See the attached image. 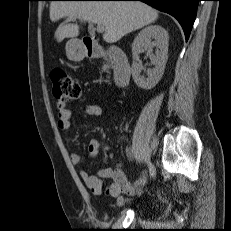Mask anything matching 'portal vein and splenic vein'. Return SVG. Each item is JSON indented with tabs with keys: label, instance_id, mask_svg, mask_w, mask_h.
<instances>
[{
	"label": "portal vein and splenic vein",
	"instance_id": "portal-vein-and-splenic-vein-1",
	"mask_svg": "<svg viewBox=\"0 0 231 231\" xmlns=\"http://www.w3.org/2000/svg\"><path fill=\"white\" fill-rule=\"evenodd\" d=\"M104 31V26L97 23V32L102 33Z\"/></svg>",
	"mask_w": 231,
	"mask_h": 231
}]
</instances>
